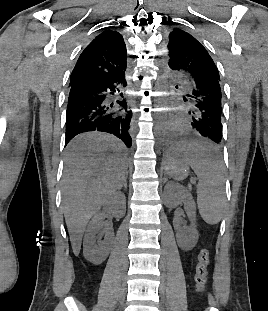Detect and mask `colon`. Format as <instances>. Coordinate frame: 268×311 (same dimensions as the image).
Here are the masks:
<instances>
[{
    "label": "colon",
    "mask_w": 268,
    "mask_h": 311,
    "mask_svg": "<svg viewBox=\"0 0 268 311\" xmlns=\"http://www.w3.org/2000/svg\"><path fill=\"white\" fill-rule=\"evenodd\" d=\"M197 259L198 261L195 269V290L197 292H203L207 281L208 266L210 263L209 250L206 247L202 248Z\"/></svg>",
    "instance_id": "1"
}]
</instances>
